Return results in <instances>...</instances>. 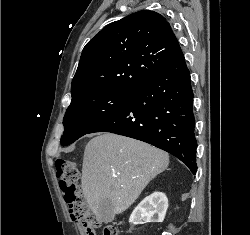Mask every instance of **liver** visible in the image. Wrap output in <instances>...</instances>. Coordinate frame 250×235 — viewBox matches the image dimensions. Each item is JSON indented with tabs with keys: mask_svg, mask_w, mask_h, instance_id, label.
<instances>
[{
	"mask_svg": "<svg viewBox=\"0 0 250 235\" xmlns=\"http://www.w3.org/2000/svg\"><path fill=\"white\" fill-rule=\"evenodd\" d=\"M168 165L169 155L147 143L114 133L92 138L84 151L81 183L96 219L104 199L114 204L115 214L127 210Z\"/></svg>",
	"mask_w": 250,
	"mask_h": 235,
	"instance_id": "liver-1",
	"label": "liver"
}]
</instances>
